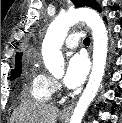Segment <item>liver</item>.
<instances>
[{"instance_id":"obj_1","label":"liver","mask_w":122,"mask_h":123,"mask_svg":"<svg viewBox=\"0 0 122 123\" xmlns=\"http://www.w3.org/2000/svg\"><path fill=\"white\" fill-rule=\"evenodd\" d=\"M59 109L56 106L24 102L14 110L10 123H56Z\"/></svg>"}]
</instances>
